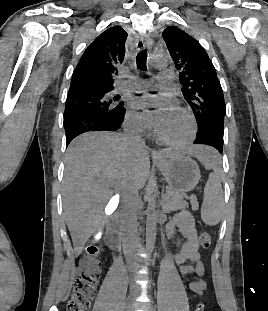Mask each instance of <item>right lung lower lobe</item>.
Instances as JSON below:
<instances>
[{"mask_svg": "<svg viewBox=\"0 0 268 311\" xmlns=\"http://www.w3.org/2000/svg\"><path fill=\"white\" fill-rule=\"evenodd\" d=\"M126 109L114 117L88 112H76L64 121L66 144L68 145L76 136L89 131H116L121 127Z\"/></svg>", "mask_w": 268, "mask_h": 311, "instance_id": "1", "label": "right lung lower lobe"}]
</instances>
